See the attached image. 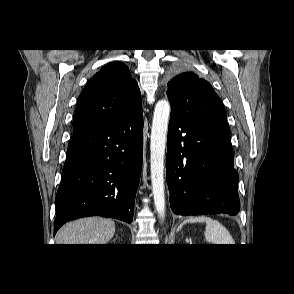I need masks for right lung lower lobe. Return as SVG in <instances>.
Instances as JSON below:
<instances>
[{
    "instance_id": "98d812e1",
    "label": "right lung lower lobe",
    "mask_w": 294,
    "mask_h": 294,
    "mask_svg": "<svg viewBox=\"0 0 294 294\" xmlns=\"http://www.w3.org/2000/svg\"><path fill=\"white\" fill-rule=\"evenodd\" d=\"M142 151V105L110 123L75 131L56 194L54 234L79 217L131 223Z\"/></svg>"
}]
</instances>
